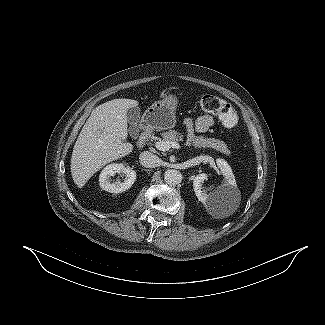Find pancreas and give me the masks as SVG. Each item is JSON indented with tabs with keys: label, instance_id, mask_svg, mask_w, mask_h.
<instances>
[{
	"label": "pancreas",
	"instance_id": "obj_1",
	"mask_svg": "<svg viewBox=\"0 0 325 325\" xmlns=\"http://www.w3.org/2000/svg\"><path fill=\"white\" fill-rule=\"evenodd\" d=\"M161 136L163 137L164 141L169 142H178L183 140V135L175 130L163 132ZM194 145L199 148H213L216 151L221 152L225 155H230L231 153L230 150L227 148V145L223 141L215 138H207L202 135L196 136L194 138Z\"/></svg>",
	"mask_w": 325,
	"mask_h": 325
}]
</instances>
